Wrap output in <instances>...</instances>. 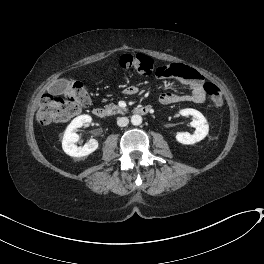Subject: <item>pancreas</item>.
<instances>
[{"mask_svg": "<svg viewBox=\"0 0 264 264\" xmlns=\"http://www.w3.org/2000/svg\"><path fill=\"white\" fill-rule=\"evenodd\" d=\"M124 111L125 109L120 108L115 104H109L106 106V112L108 115L122 114Z\"/></svg>", "mask_w": 264, "mask_h": 264, "instance_id": "cf45deb5", "label": "pancreas"}]
</instances>
